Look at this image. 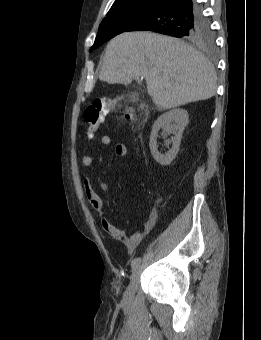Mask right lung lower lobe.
<instances>
[{"label": "right lung lower lobe", "mask_w": 261, "mask_h": 340, "mask_svg": "<svg viewBox=\"0 0 261 340\" xmlns=\"http://www.w3.org/2000/svg\"><path fill=\"white\" fill-rule=\"evenodd\" d=\"M202 17L196 0H161L126 31H154L181 38Z\"/></svg>", "instance_id": "right-lung-lower-lobe-1"}]
</instances>
